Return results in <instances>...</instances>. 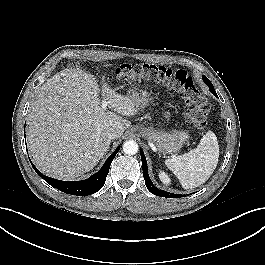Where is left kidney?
<instances>
[{"mask_svg": "<svg viewBox=\"0 0 265 265\" xmlns=\"http://www.w3.org/2000/svg\"><path fill=\"white\" fill-rule=\"evenodd\" d=\"M159 178L166 185L170 183V178L162 171L159 173Z\"/></svg>", "mask_w": 265, "mask_h": 265, "instance_id": "obj_1", "label": "left kidney"}]
</instances>
